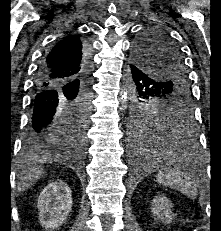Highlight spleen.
Instances as JSON below:
<instances>
[{
  "mask_svg": "<svg viewBox=\"0 0 221 231\" xmlns=\"http://www.w3.org/2000/svg\"><path fill=\"white\" fill-rule=\"evenodd\" d=\"M156 181L181 192L189 198L195 199L198 195L195 183L191 181V178L186 173L179 169H166L164 172H159L156 175Z\"/></svg>",
  "mask_w": 221,
  "mask_h": 231,
  "instance_id": "1",
  "label": "spleen"
}]
</instances>
